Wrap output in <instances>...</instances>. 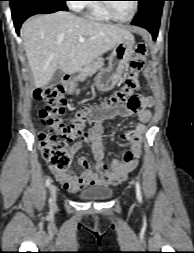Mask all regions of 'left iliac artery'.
I'll return each mask as SVG.
<instances>
[{"instance_id": "obj_1", "label": "left iliac artery", "mask_w": 194, "mask_h": 253, "mask_svg": "<svg viewBox=\"0 0 194 253\" xmlns=\"http://www.w3.org/2000/svg\"><path fill=\"white\" fill-rule=\"evenodd\" d=\"M135 187H136L137 199H138L139 202H142L141 186H140V183L138 181H136Z\"/></svg>"}]
</instances>
